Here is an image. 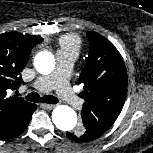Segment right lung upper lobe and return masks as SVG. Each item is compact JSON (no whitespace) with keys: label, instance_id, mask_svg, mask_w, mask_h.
I'll return each instance as SVG.
<instances>
[{"label":"right lung upper lobe","instance_id":"1","mask_svg":"<svg viewBox=\"0 0 153 153\" xmlns=\"http://www.w3.org/2000/svg\"><path fill=\"white\" fill-rule=\"evenodd\" d=\"M42 40L40 36L18 32L0 34V134L33 104L17 96L9 97L7 93L24 83L21 71L28 62L31 49Z\"/></svg>","mask_w":153,"mask_h":153}]
</instances>
